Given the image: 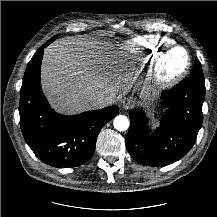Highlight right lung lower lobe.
I'll list each match as a JSON object with an SVG mask.
<instances>
[{
    "label": "right lung lower lobe",
    "mask_w": 217,
    "mask_h": 217,
    "mask_svg": "<svg viewBox=\"0 0 217 217\" xmlns=\"http://www.w3.org/2000/svg\"><path fill=\"white\" fill-rule=\"evenodd\" d=\"M30 60L20 90V127L25 141L44 163L54 167H75L92 157L101 128L118 112L110 106L79 115L65 116L50 108L43 95L40 72L43 49Z\"/></svg>",
    "instance_id": "98d812e1"
}]
</instances>
